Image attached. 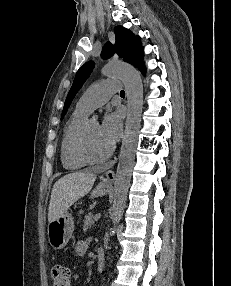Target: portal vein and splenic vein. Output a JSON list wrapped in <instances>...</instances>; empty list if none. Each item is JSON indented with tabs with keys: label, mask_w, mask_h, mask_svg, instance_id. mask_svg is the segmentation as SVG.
I'll return each instance as SVG.
<instances>
[{
	"label": "portal vein and splenic vein",
	"mask_w": 231,
	"mask_h": 286,
	"mask_svg": "<svg viewBox=\"0 0 231 286\" xmlns=\"http://www.w3.org/2000/svg\"><path fill=\"white\" fill-rule=\"evenodd\" d=\"M100 217H101V214H100V213H97V214L95 215V217H94V220H95V221H98V220L100 219Z\"/></svg>",
	"instance_id": "portal-vein-and-splenic-vein-1"
}]
</instances>
